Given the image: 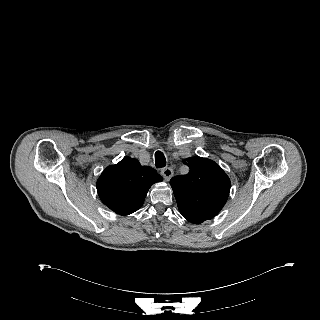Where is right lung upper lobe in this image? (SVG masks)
<instances>
[{
  "label": "right lung upper lobe",
  "instance_id": "cb5924a9",
  "mask_svg": "<svg viewBox=\"0 0 320 320\" xmlns=\"http://www.w3.org/2000/svg\"><path fill=\"white\" fill-rule=\"evenodd\" d=\"M163 178L139 161L124 157L119 163L108 166L97 181L101 201L119 215L137 211L143 204L149 188Z\"/></svg>",
  "mask_w": 320,
  "mask_h": 320
}]
</instances>
